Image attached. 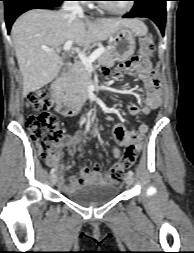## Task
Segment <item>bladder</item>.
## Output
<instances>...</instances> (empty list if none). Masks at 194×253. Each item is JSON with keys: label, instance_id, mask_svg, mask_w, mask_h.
<instances>
[{"label": "bladder", "instance_id": "obj_1", "mask_svg": "<svg viewBox=\"0 0 194 253\" xmlns=\"http://www.w3.org/2000/svg\"><path fill=\"white\" fill-rule=\"evenodd\" d=\"M119 193L112 184H95L77 188L67 194V198L82 207H98L114 200Z\"/></svg>", "mask_w": 194, "mask_h": 253}]
</instances>
